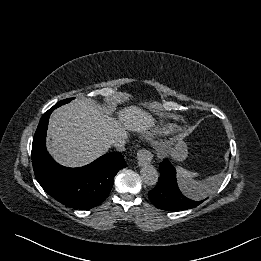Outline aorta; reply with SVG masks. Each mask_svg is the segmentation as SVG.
Returning a JSON list of instances; mask_svg holds the SVG:
<instances>
[{
  "mask_svg": "<svg viewBox=\"0 0 261 261\" xmlns=\"http://www.w3.org/2000/svg\"><path fill=\"white\" fill-rule=\"evenodd\" d=\"M140 173H141V179L146 185L153 186L157 184L159 174L154 166L149 164L145 165L142 167Z\"/></svg>",
  "mask_w": 261,
  "mask_h": 261,
  "instance_id": "aorta-1",
  "label": "aorta"
}]
</instances>
